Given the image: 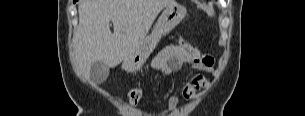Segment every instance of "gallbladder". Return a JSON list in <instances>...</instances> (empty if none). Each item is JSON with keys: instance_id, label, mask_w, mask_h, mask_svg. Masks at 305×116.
Listing matches in <instances>:
<instances>
[{"instance_id": "obj_1", "label": "gallbladder", "mask_w": 305, "mask_h": 116, "mask_svg": "<svg viewBox=\"0 0 305 116\" xmlns=\"http://www.w3.org/2000/svg\"><path fill=\"white\" fill-rule=\"evenodd\" d=\"M109 76V67L102 61H96L90 69V79L93 83L99 85L106 81Z\"/></svg>"}]
</instances>
